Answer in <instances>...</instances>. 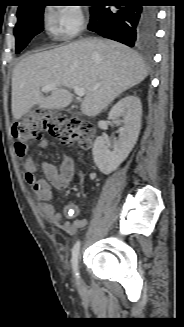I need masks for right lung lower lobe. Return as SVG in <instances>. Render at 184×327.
<instances>
[{
    "label": "right lung lower lobe",
    "instance_id": "98d812e1",
    "mask_svg": "<svg viewBox=\"0 0 184 327\" xmlns=\"http://www.w3.org/2000/svg\"><path fill=\"white\" fill-rule=\"evenodd\" d=\"M93 6L88 29L130 47L152 45L156 33L157 11L143 7L141 0H128L127 6Z\"/></svg>",
    "mask_w": 184,
    "mask_h": 327
}]
</instances>
